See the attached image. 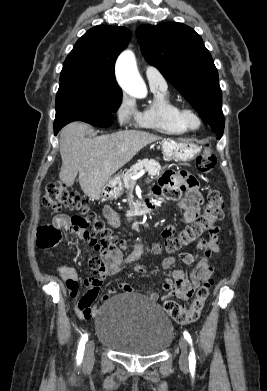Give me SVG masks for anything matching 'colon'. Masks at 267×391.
<instances>
[{
	"instance_id": "5ec220e1",
	"label": "colon",
	"mask_w": 267,
	"mask_h": 391,
	"mask_svg": "<svg viewBox=\"0 0 267 391\" xmlns=\"http://www.w3.org/2000/svg\"><path fill=\"white\" fill-rule=\"evenodd\" d=\"M216 165V156L209 148L205 149L196 158V167L200 173H211ZM45 207L53 212L63 209H74L81 212L77 216L80 222L91 224L99 238L91 236L90 245L98 252H104L118 245L124 246L123 241L114 235L106 223L92 212L83 196L66 187L63 183L49 184L42 198ZM225 202L221 194L212 190L208 194V200L204 212L191 225L185 227L177 236L166 238L163 244L156 245L154 250H165L169 253L178 251L204 235L216 233V222L224 215ZM61 239L60 231L51 225H44L37 230V245L41 248L54 247ZM212 280L204 281L197 289L189 306H182L173 300L165 301L163 307L169 317L178 324H190L198 320L210 293Z\"/></svg>"
}]
</instances>
